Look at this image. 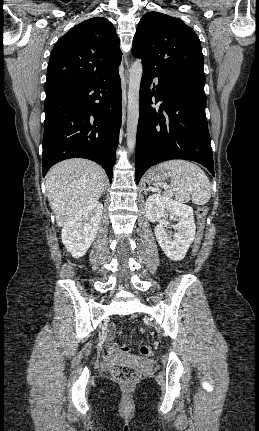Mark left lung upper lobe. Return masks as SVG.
<instances>
[{"label":"left lung upper lobe","mask_w":259,"mask_h":431,"mask_svg":"<svg viewBox=\"0 0 259 431\" xmlns=\"http://www.w3.org/2000/svg\"><path fill=\"white\" fill-rule=\"evenodd\" d=\"M132 52L143 67L204 89L201 43L182 20L159 12L145 14L137 26Z\"/></svg>","instance_id":"1"}]
</instances>
